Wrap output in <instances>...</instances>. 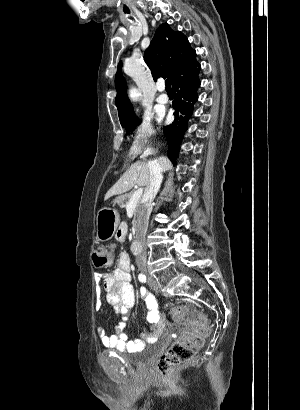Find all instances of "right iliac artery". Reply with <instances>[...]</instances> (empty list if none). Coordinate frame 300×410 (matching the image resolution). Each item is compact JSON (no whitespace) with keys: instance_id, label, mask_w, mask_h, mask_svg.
Here are the masks:
<instances>
[{"instance_id":"1","label":"right iliac artery","mask_w":300,"mask_h":410,"mask_svg":"<svg viewBox=\"0 0 300 410\" xmlns=\"http://www.w3.org/2000/svg\"><path fill=\"white\" fill-rule=\"evenodd\" d=\"M138 279L140 282L145 283L146 282V276L144 274H139Z\"/></svg>"}]
</instances>
